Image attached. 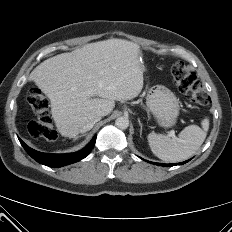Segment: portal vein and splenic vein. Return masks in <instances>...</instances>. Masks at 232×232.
<instances>
[{"label": "portal vein and splenic vein", "instance_id": "obj_1", "mask_svg": "<svg viewBox=\"0 0 232 232\" xmlns=\"http://www.w3.org/2000/svg\"><path fill=\"white\" fill-rule=\"evenodd\" d=\"M169 135H170L171 137H174V136H175V132H174V131H171Z\"/></svg>", "mask_w": 232, "mask_h": 232}]
</instances>
